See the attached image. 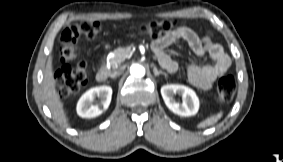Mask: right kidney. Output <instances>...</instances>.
Here are the masks:
<instances>
[{
	"mask_svg": "<svg viewBox=\"0 0 283 162\" xmlns=\"http://www.w3.org/2000/svg\"><path fill=\"white\" fill-rule=\"evenodd\" d=\"M98 97L100 101L93 104ZM112 88L110 86H99L85 92L77 103V114L82 118L97 117L106 110L111 102Z\"/></svg>",
	"mask_w": 283,
	"mask_h": 162,
	"instance_id": "right-kidney-1",
	"label": "right kidney"
}]
</instances>
